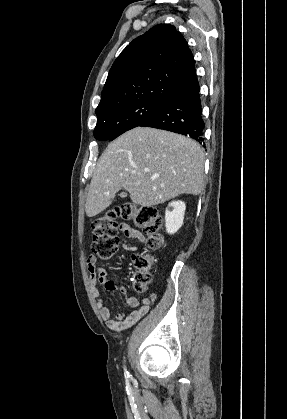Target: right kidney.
<instances>
[{
  "label": "right kidney",
  "mask_w": 287,
  "mask_h": 419,
  "mask_svg": "<svg viewBox=\"0 0 287 419\" xmlns=\"http://www.w3.org/2000/svg\"><path fill=\"white\" fill-rule=\"evenodd\" d=\"M186 205L183 201H172L165 211V227L169 234L176 233L183 225Z\"/></svg>",
  "instance_id": "1"
}]
</instances>
